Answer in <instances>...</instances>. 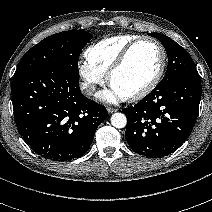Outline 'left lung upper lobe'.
<instances>
[{
    "mask_svg": "<svg viewBox=\"0 0 212 212\" xmlns=\"http://www.w3.org/2000/svg\"><path fill=\"white\" fill-rule=\"evenodd\" d=\"M148 35L155 37L164 45L168 56L166 75L156 88L166 86L184 75L196 72L191 56L178 43L161 33H148Z\"/></svg>",
    "mask_w": 212,
    "mask_h": 212,
    "instance_id": "obj_1",
    "label": "left lung upper lobe"
}]
</instances>
